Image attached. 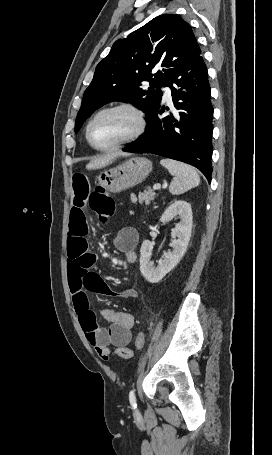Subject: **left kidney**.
I'll use <instances>...</instances> for the list:
<instances>
[{
    "mask_svg": "<svg viewBox=\"0 0 272 455\" xmlns=\"http://www.w3.org/2000/svg\"><path fill=\"white\" fill-rule=\"evenodd\" d=\"M174 216H178L181 221L176 224L171 233L173 240L170 246L173 250L167 252L163 259L158 261L157 266H154V263L150 261L153 244L149 240H145L142 243L140 249V271L150 283H157L162 280L179 263L187 250L192 229L191 205L182 200L174 202L164 211L160 221L163 223L169 222Z\"/></svg>",
    "mask_w": 272,
    "mask_h": 455,
    "instance_id": "1",
    "label": "left kidney"
}]
</instances>
